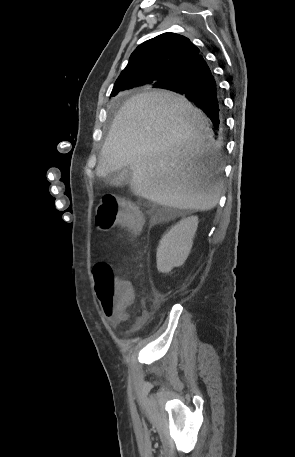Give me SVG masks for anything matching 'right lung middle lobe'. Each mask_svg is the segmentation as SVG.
<instances>
[{
	"mask_svg": "<svg viewBox=\"0 0 295 457\" xmlns=\"http://www.w3.org/2000/svg\"><path fill=\"white\" fill-rule=\"evenodd\" d=\"M140 85H142V84L132 85L131 87L140 86ZM115 95H117L116 91L111 93V96H115Z\"/></svg>",
	"mask_w": 295,
	"mask_h": 457,
	"instance_id": "1",
	"label": "right lung middle lobe"
}]
</instances>
